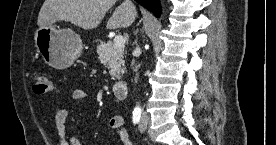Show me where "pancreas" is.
<instances>
[{"mask_svg":"<svg viewBox=\"0 0 276 145\" xmlns=\"http://www.w3.org/2000/svg\"><path fill=\"white\" fill-rule=\"evenodd\" d=\"M97 54L101 63L108 67L112 79L119 80L125 65L124 48L114 47L111 42H100L97 45Z\"/></svg>","mask_w":276,"mask_h":145,"instance_id":"obj_1","label":"pancreas"}]
</instances>
